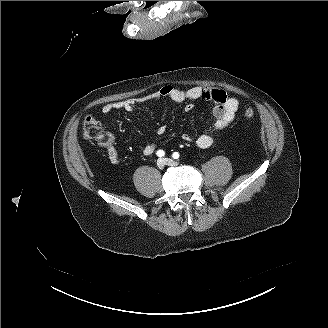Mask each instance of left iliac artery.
Here are the masks:
<instances>
[{
    "label": "left iliac artery",
    "instance_id": "obj_1",
    "mask_svg": "<svg viewBox=\"0 0 328 328\" xmlns=\"http://www.w3.org/2000/svg\"><path fill=\"white\" fill-rule=\"evenodd\" d=\"M179 156H180V155H179L178 152H174L173 155H172V157H173L174 159H178Z\"/></svg>",
    "mask_w": 328,
    "mask_h": 328
}]
</instances>
